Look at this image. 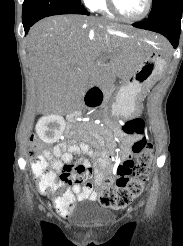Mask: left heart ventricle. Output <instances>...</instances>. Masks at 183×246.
Here are the masks:
<instances>
[{
	"mask_svg": "<svg viewBox=\"0 0 183 246\" xmlns=\"http://www.w3.org/2000/svg\"><path fill=\"white\" fill-rule=\"evenodd\" d=\"M121 13L127 17L140 15L146 6V0H116Z\"/></svg>",
	"mask_w": 183,
	"mask_h": 246,
	"instance_id": "left-heart-ventricle-1",
	"label": "left heart ventricle"
}]
</instances>
